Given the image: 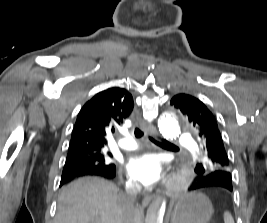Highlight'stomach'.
<instances>
[{"mask_svg":"<svg viewBox=\"0 0 267 223\" xmlns=\"http://www.w3.org/2000/svg\"><path fill=\"white\" fill-rule=\"evenodd\" d=\"M213 208L209 198L200 192L179 196L170 214L171 223H209Z\"/></svg>","mask_w":267,"mask_h":223,"instance_id":"1","label":"stomach"}]
</instances>
